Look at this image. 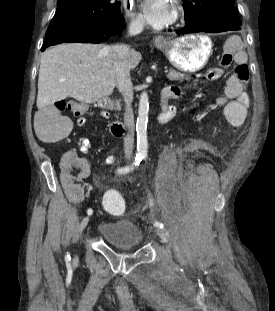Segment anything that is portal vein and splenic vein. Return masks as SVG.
Wrapping results in <instances>:
<instances>
[{"label":"portal vein and splenic vein","mask_w":275,"mask_h":311,"mask_svg":"<svg viewBox=\"0 0 275 311\" xmlns=\"http://www.w3.org/2000/svg\"><path fill=\"white\" fill-rule=\"evenodd\" d=\"M164 72H165V73H168V70L166 69Z\"/></svg>","instance_id":"18ae733b"}]
</instances>
